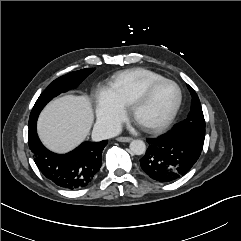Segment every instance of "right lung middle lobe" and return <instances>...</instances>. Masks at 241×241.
Returning <instances> with one entry per match:
<instances>
[{"instance_id": "1", "label": "right lung middle lobe", "mask_w": 241, "mask_h": 241, "mask_svg": "<svg viewBox=\"0 0 241 241\" xmlns=\"http://www.w3.org/2000/svg\"><path fill=\"white\" fill-rule=\"evenodd\" d=\"M95 68L82 69L63 75L53 82L41 93L37 99L29 118V124L35 122L44 106L55 96L76 88Z\"/></svg>"}]
</instances>
